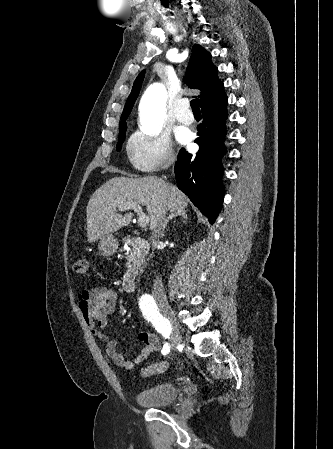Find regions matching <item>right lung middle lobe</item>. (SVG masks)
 Masks as SVG:
<instances>
[{
	"mask_svg": "<svg viewBox=\"0 0 333 449\" xmlns=\"http://www.w3.org/2000/svg\"><path fill=\"white\" fill-rule=\"evenodd\" d=\"M126 119H127L126 117L122 118V120H126ZM126 129H127L126 123L123 122V121L120 122V133H119V139H118V143H117V151L121 150L122 143H123L124 138H125Z\"/></svg>",
	"mask_w": 333,
	"mask_h": 449,
	"instance_id": "right-lung-middle-lobe-1",
	"label": "right lung middle lobe"
}]
</instances>
